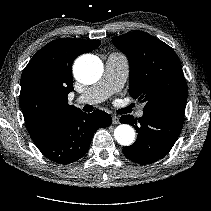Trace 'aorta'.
<instances>
[{
    "mask_svg": "<svg viewBox=\"0 0 211 211\" xmlns=\"http://www.w3.org/2000/svg\"><path fill=\"white\" fill-rule=\"evenodd\" d=\"M75 78L83 84H93L98 81L103 73L101 60L94 55L79 57L73 66ZM114 137L123 146H129L135 138L134 129L127 124H121L115 128Z\"/></svg>",
    "mask_w": 211,
    "mask_h": 211,
    "instance_id": "1",
    "label": "aorta"
}]
</instances>
